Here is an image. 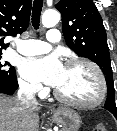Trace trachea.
Instances as JSON below:
<instances>
[{"label":"trachea","mask_w":117,"mask_h":131,"mask_svg":"<svg viewBox=\"0 0 117 131\" xmlns=\"http://www.w3.org/2000/svg\"><path fill=\"white\" fill-rule=\"evenodd\" d=\"M43 6V0H34L32 8V24L33 27L37 30L40 25V16Z\"/></svg>","instance_id":"trachea-1"}]
</instances>
